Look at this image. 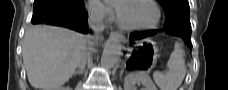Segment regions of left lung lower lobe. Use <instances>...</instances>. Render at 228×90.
Listing matches in <instances>:
<instances>
[{"instance_id":"0a47b994","label":"left lung lower lobe","mask_w":228,"mask_h":90,"mask_svg":"<svg viewBox=\"0 0 228 90\" xmlns=\"http://www.w3.org/2000/svg\"><path fill=\"white\" fill-rule=\"evenodd\" d=\"M164 28H165V32L167 34L181 37L183 40L186 41L188 47L192 48V44H191V29L187 30V29H182V28H179V27H164ZM156 33H157L156 30L140 32V33H134V34L130 35V38L132 40H137V39H141V38H144V37H147V36L154 35Z\"/></svg>"}]
</instances>
